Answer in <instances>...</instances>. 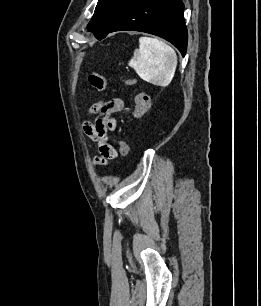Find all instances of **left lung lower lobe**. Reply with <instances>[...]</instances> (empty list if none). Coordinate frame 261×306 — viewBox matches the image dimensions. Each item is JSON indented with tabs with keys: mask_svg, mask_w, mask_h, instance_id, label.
I'll return each instance as SVG.
<instances>
[{
	"mask_svg": "<svg viewBox=\"0 0 261 306\" xmlns=\"http://www.w3.org/2000/svg\"><path fill=\"white\" fill-rule=\"evenodd\" d=\"M183 11L182 0H133L108 33L134 30L154 34L171 42L185 56L188 33Z\"/></svg>",
	"mask_w": 261,
	"mask_h": 306,
	"instance_id": "obj_1",
	"label": "left lung lower lobe"
}]
</instances>
